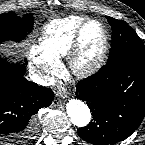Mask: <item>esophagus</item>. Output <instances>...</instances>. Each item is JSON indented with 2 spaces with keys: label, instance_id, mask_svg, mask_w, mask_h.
Returning <instances> with one entry per match:
<instances>
[{
  "label": "esophagus",
  "instance_id": "obj_1",
  "mask_svg": "<svg viewBox=\"0 0 145 145\" xmlns=\"http://www.w3.org/2000/svg\"><path fill=\"white\" fill-rule=\"evenodd\" d=\"M58 96L62 97L63 99L68 98V93L65 87H59L57 90Z\"/></svg>",
  "mask_w": 145,
  "mask_h": 145
}]
</instances>
